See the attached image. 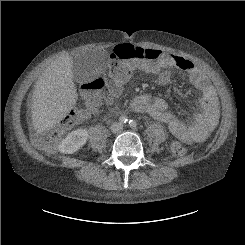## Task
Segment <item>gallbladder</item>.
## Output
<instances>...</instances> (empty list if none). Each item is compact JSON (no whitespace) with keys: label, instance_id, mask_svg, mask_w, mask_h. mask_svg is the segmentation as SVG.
<instances>
[{"label":"gallbladder","instance_id":"1","mask_svg":"<svg viewBox=\"0 0 245 245\" xmlns=\"http://www.w3.org/2000/svg\"><path fill=\"white\" fill-rule=\"evenodd\" d=\"M74 72H75V79L78 80V74H79V67H78V64L77 62L74 63Z\"/></svg>","mask_w":245,"mask_h":245}]
</instances>
